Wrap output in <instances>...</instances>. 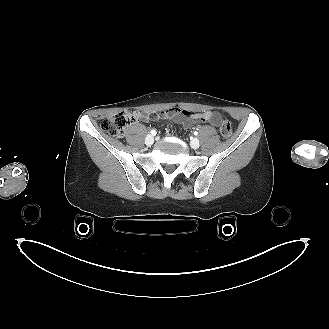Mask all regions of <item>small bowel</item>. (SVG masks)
Returning <instances> with one entry per match:
<instances>
[{"mask_svg":"<svg viewBox=\"0 0 329 329\" xmlns=\"http://www.w3.org/2000/svg\"><path fill=\"white\" fill-rule=\"evenodd\" d=\"M136 117L143 121H147L149 116L144 113L136 112ZM153 116H161L163 119L173 120L185 128L192 126L194 123H210L217 126L220 120L219 115L213 111H206L203 113L190 112L177 107L164 110L160 113H154Z\"/></svg>","mask_w":329,"mask_h":329,"instance_id":"obj_1","label":"small bowel"}]
</instances>
